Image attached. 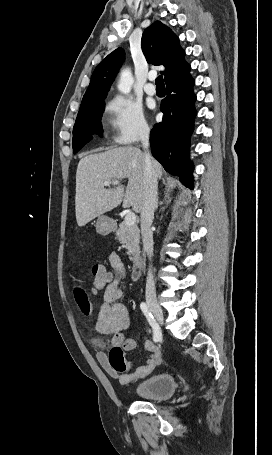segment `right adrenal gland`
<instances>
[{"label": "right adrenal gland", "mask_w": 272, "mask_h": 455, "mask_svg": "<svg viewBox=\"0 0 272 455\" xmlns=\"http://www.w3.org/2000/svg\"><path fill=\"white\" fill-rule=\"evenodd\" d=\"M158 207V198H157V202H156V208Z\"/></svg>", "instance_id": "2a0ac1e0"}]
</instances>
